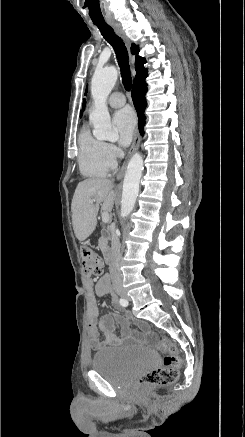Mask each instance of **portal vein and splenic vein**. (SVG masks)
<instances>
[{
    "mask_svg": "<svg viewBox=\"0 0 245 437\" xmlns=\"http://www.w3.org/2000/svg\"><path fill=\"white\" fill-rule=\"evenodd\" d=\"M93 201H94L93 199H90V200H89L90 203H93ZM101 216H102V221H103L104 223L109 222L110 215H109L108 212H102Z\"/></svg>",
    "mask_w": 245,
    "mask_h": 437,
    "instance_id": "1",
    "label": "portal vein and splenic vein"
}]
</instances>
